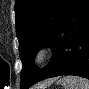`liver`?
I'll list each match as a JSON object with an SVG mask.
<instances>
[{"mask_svg": "<svg viewBox=\"0 0 89 89\" xmlns=\"http://www.w3.org/2000/svg\"><path fill=\"white\" fill-rule=\"evenodd\" d=\"M54 81H55L54 79L49 80L48 82L44 83L43 87H46L47 85L53 83ZM39 87H42V86L35 87V89H41Z\"/></svg>", "mask_w": 89, "mask_h": 89, "instance_id": "1", "label": "liver"}]
</instances>
